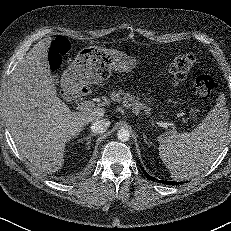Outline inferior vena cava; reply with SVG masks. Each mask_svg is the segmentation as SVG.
<instances>
[{
	"mask_svg": "<svg viewBox=\"0 0 231 231\" xmlns=\"http://www.w3.org/2000/svg\"><path fill=\"white\" fill-rule=\"evenodd\" d=\"M110 126V121L106 118L96 120L91 125L92 132L96 134L104 133Z\"/></svg>",
	"mask_w": 231,
	"mask_h": 231,
	"instance_id": "obj_1",
	"label": "inferior vena cava"
}]
</instances>
